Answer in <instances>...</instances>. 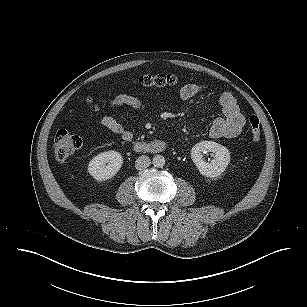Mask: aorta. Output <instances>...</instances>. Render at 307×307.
Returning a JSON list of instances; mask_svg holds the SVG:
<instances>
[{"label": "aorta", "instance_id": "aorta-1", "mask_svg": "<svg viewBox=\"0 0 307 307\" xmlns=\"http://www.w3.org/2000/svg\"><path fill=\"white\" fill-rule=\"evenodd\" d=\"M152 163L157 168H162L165 165V158L162 155H156L153 157Z\"/></svg>", "mask_w": 307, "mask_h": 307}]
</instances>
